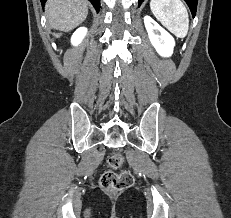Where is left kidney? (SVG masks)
<instances>
[{"label": "left kidney", "instance_id": "1", "mask_svg": "<svg viewBox=\"0 0 231 218\" xmlns=\"http://www.w3.org/2000/svg\"><path fill=\"white\" fill-rule=\"evenodd\" d=\"M144 24L147 30L151 44L158 54L163 57H169L173 53L175 41L172 35L161 27L150 16L144 17Z\"/></svg>", "mask_w": 231, "mask_h": 218}]
</instances>
